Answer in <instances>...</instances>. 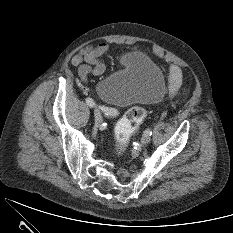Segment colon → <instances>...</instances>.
Returning a JSON list of instances; mask_svg holds the SVG:
<instances>
[{
  "label": "colon",
  "instance_id": "obj_1",
  "mask_svg": "<svg viewBox=\"0 0 233 233\" xmlns=\"http://www.w3.org/2000/svg\"><path fill=\"white\" fill-rule=\"evenodd\" d=\"M146 117L145 109L141 107L130 108L116 126V141L120 148L129 143L131 137L143 123Z\"/></svg>",
  "mask_w": 233,
  "mask_h": 233
}]
</instances>
